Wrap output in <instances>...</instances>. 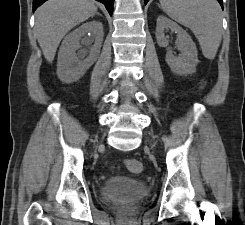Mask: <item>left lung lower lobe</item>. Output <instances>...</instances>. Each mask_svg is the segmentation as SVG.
<instances>
[{
    "mask_svg": "<svg viewBox=\"0 0 245 225\" xmlns=\"http://www.w3.org/2000/svg\"><path fill=\"white\" fill-rule=\"evenodd\" d=\"M148 1H149V0H144L145 4H147ZM217 1L220 3L221 7L223 8L222 0H217Z\"/></svg>",
    "mask_w": 245,
    "mask_h": 225,
    "instance_id": "0a47b994",
    "label": "left lung lower lobe"
}]
</instances>
